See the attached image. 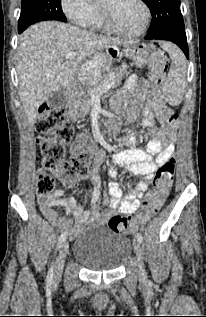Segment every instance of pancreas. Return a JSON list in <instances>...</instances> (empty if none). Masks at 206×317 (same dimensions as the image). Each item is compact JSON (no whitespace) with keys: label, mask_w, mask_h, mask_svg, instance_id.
I'll return each instance as SVG.
<instances>
[{"label":"pancreas","mask_w":206,"mask_h":317,"mask_svg":"<svg viewBox=\"0 0 206 317\" xmlns=\"http://www.w3.org/2000/svg\"><path fill=\"white\" fill-rule=\"evenodd\" d=\"M111 74H113V84H111L110 86L118 87L121 84L122 80L130 74V72L127 70V62L121 61L120 67L109 69L107 71V74L104 75L102 78L99 75V82H94L93 85L88 84L86 86H82L81 89H79L75 93L71 106L73 108L72 113L76 117L84 118L89 113L93 99L91 93H96L97 89L106 88V82ZM84 76L88 77L89 75Z\"/></svg>","instance_id":"obj_1"}]
</instances>
